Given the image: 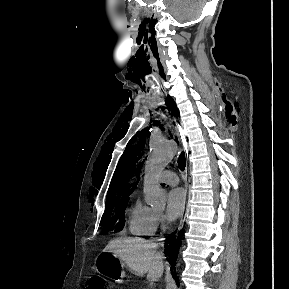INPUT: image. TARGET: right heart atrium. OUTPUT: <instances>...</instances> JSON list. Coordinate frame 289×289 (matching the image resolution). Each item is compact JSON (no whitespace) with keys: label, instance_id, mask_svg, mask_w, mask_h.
Wrapping results in <instances>:
<instances>
[{"label":"right heart atrium","instance_id":"obj_1","mask_svg":"<svg viewBox=\"0 0 289 289\" xmlns=\"http://www.w3.org/2000/svg\"><path fill=\"white\" fill-rule=\"evenodd\" d=\"M162 223V218L160 215H157V224H161Z\"/></svg>","mask_w":289,"mask_h":289}]
</instances>
